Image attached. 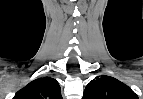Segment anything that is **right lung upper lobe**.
I'll list each match as a JSON object with an SVG mask.
<instances>
[{"instance_id": "obj_1", "label": "right lung upper lobe", "mask_w": 143, "mask_h": 99, "mask_svg": "<svg viewBox=\"0 0 143 99\" xmlns=\"http://www.w3.org/2000/svg\"><path fill=\"white\" fill-rule=\"evenodd\" d=\"M13 99H62L59 83L51 78H38L19 90Z\"/></svg>"}]
</instances>
